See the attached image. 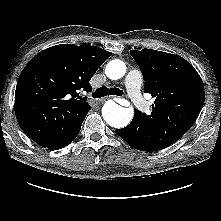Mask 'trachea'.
<instances>
[{
  "instance_id": "obj_1",
  "label": "trachea",
  "mask_w": 221,
  "mask_h": 221,
  "mask_svg": "<svg viewBox=\"0 0 221 221\" xmlns=\"http://www.w3.org/2000/svg\"><path fill=\"white\" fill-rule=\"evenodd\" d=\"M116 95V96H122L123 95V91L120 90L119 88H107L106 86L100 87L99 89H97L95 91V93L93 94L94 98H101L107 95Z\"/></svg>"
}]
</instances>
